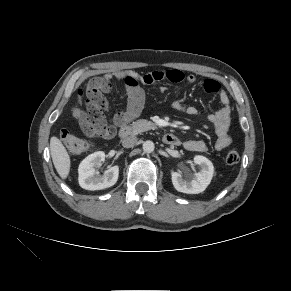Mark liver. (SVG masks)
I'll return each instance as SVG.
<instances>
[{
  "label": "liver",
  "instance_id": "liver-1",
  "mask_svg": "<svg viewBox=\"0 0 291 291\" xmlns=\"http://www.w3.org/2000/svg\"><path fill=\"white\" fill-rule=\"evenodd\" d=\"M50 152L58 174L62 179H66L70 171V156L62 142L55 136L50 139Z\"/></svg>",
  "mask_w": 291,
  "mask_h": 291
}]
</instances>
